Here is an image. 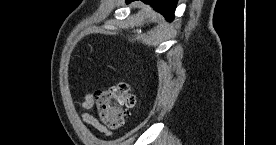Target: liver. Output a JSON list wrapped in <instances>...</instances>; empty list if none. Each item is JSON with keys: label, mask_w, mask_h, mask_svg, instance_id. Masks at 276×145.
Instances as JSON below:
<instances>
[{"label": "liver", "mask_w": 276, "mask_h": 145, "mask_svg": "<svg viewBox=\"0 0 276 145\" xmlns=\"http://www.w3.org/2000/svg\"><path fill=\"white\" fill-rule=\"evenodd\" d=\"M141 7V12L146 14L147 17L151 18V21L155 22L157 19H161V16L153 11L150 6L145 5L143 3H138Z\"/></svg>", "instance_id": "6515ba94"}]
</instances>
